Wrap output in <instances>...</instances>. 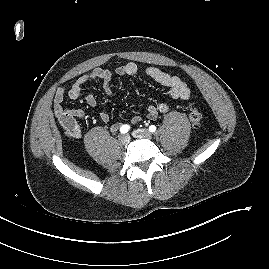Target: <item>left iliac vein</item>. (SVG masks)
<instances>
[{"label": "left iliac vein", "instance_id": "obj_1", "mask_svg": "<svg viewBox=\"0 0 269 269\" xmlns=\"http://www.w3.org/2000/svg\"><path fill=\"white\" fill-rule=\"evenodd\" d=\"M133 137L135 138H148L152 137V134L147 129H137L132 132Z\"/></svg>", "mask_w": 269, "mask_h": 269}]
</instances>
